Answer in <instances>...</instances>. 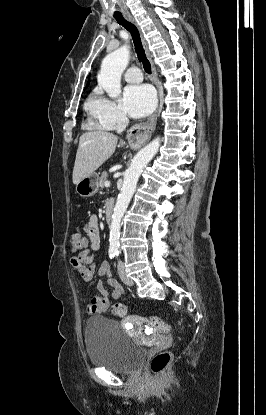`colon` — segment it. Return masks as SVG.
<instances>
[{
    "instance_id": "1",
    "label": "colon",
    "mask_w": 266,
    "mask_h": 415,
    "mask_svg": "<svg viewBox=\"0 0 266 415\" xmlns=\"http://www.w3.org/2000/svg\"><path fill=\"white\" fill-rule=\"evenodd\" d=\"M70 251L72 253H80L87 246L86 237L80 232H74L69 237ZM111 312L116 317H123L127 313V307L122 303H115L111 306ZM150 326L158 332H168L170 326L159 317L152 316L149 318ZM172 355L169 351H161L156 353L150 362V369L154 374L162 373L170 363Z\"/></svg>"
}]
</instances>
